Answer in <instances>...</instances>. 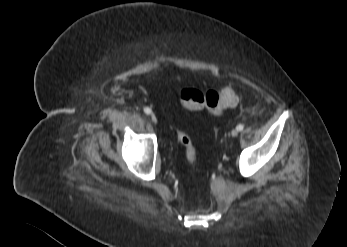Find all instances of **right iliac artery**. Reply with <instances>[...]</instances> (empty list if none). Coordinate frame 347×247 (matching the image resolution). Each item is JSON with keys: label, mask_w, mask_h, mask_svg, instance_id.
Returning <instances> with one entry per match:
<instances>
[{"label": "right iliac artery", "mask_w": 347, "mask_h": 247, "mask_svg": "<svg viewBox=\"0 0 347 247\" xmlns=\"http://www.w3.org/2000/svg\"><path fill=\"white\" fill-rule=\"evenodd\" d=\"M144 112H145L146 114H151V113H152V110H151L149 107H145V108H144Z\"/></svg>", "instance_id": "1"}]
</instances>
